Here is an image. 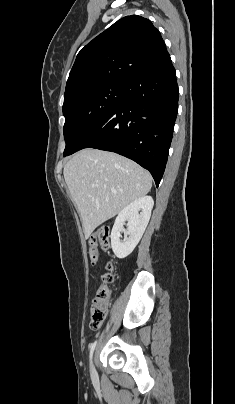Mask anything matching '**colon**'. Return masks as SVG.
<instances>
[{"instance_id": "obj_1", "label": "colon", "mask_w": 235, "mask_h": 404, "mask_svg": "<svg viewBox=\"0 0 235 404\" xmlns=\"http://www.w3.org/2000/svg\"><path fill=\"white\" fill-rule=\"evenodd\" d=\"M98 246L103 249L110 247V230L107 227L97 230L89 239V257L93 264L98 259ZM102 281L103 285L97 291L90 309V327L92 329H99L102 326L108 312V305L112 297L110 284L114 281L110 268L103 275Z\"/></svg>"}]
</instances>
